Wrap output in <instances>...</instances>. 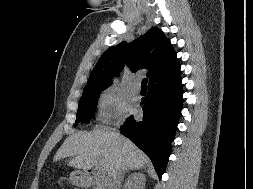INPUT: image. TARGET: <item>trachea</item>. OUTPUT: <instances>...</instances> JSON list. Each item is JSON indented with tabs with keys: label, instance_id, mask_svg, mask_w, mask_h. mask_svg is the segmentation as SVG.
<instances>
[{
	"label": "trachea",
	"instance_id": "obj_1",
	"mask_svg": "<svg viewBox=\"0 0 253 189\" xmlns=\"http://www.w3.org/2000/svg\"><path fill=\"white\" fill-rule=\"evenodd\" d=\"M147 83H148V79H147V78H144V79L142 80V87H143V88H147Z\"/></svg>",
	"mask_w": 253,
	"mask_h": 189
}]
</instances>
